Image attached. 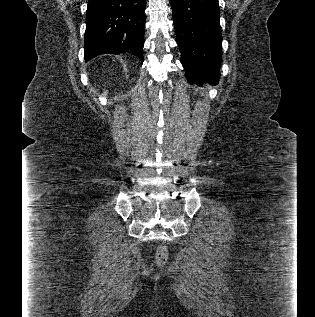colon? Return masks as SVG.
Listing matches in <instances>:
<instances>
[{
  "label": "colon",
  "instance_id": "obj_1",
  "mask_svg": "<svg viewBox=\"0 0 315 317\" xmlns=\"http://www.w3.org/2000/svg\"><path fill=\"white\" fill-rule=\"evenodd\" d=\"M168 257V252L165 247H160L157 251V261L159 264H163Z\"/></svg>",
  "mask_w": 315,
  "mask_h": 317
}]
</instances>
